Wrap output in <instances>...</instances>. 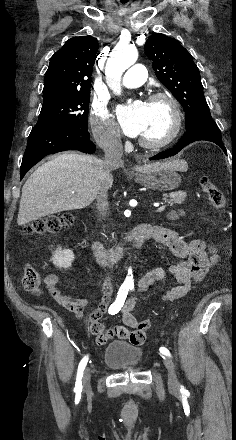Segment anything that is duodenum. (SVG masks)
I'll return each mask as SVG.
<instances>
[{"mask_svg":"<svg viewBox=\"0 0 236 440\" xmlns=\"http://www.w3.org/2000/svg\"><path fill=\"white\" fill-rule=\"evenodd\" d=\"M154 227L149 224H141L135 227L125 245L114 250L106 249L103 244L93 237L89 238V246L95 257V260L100 266L113 267L115 266L126 253L141 245L145 240L152 238Z\"/></svg>","mask_w":236,"mask_h":440,"instance_id":"1","label":"duodenum"}]
</instances>
